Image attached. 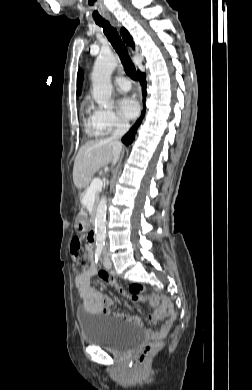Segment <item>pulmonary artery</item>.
<instances>
[{
  "mask_svg": "<svg viewBox=\"0 0 252 390\" xmlns=\"http://www.w3.org/2000/svg\"><path fill=\"white\" fill-rule=\"evenodd\" d=\"M114 83L121 91H128L131 87L130 82L124 77H116Z\"/></svg>",
  "mask_w": 252,
  "mask_h": 390,
  "instance_id": "1",
  "label": "pulmonary artery"
}]
</instances>
